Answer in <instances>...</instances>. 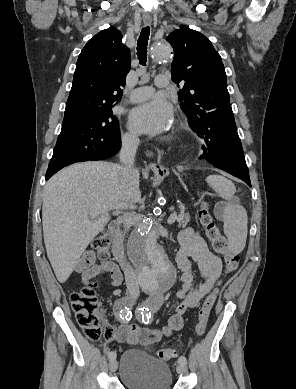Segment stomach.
<instances>
[{
	"label": "stomach",
	"mask_w": 296,
	"mask_h": 389,
	"mask_svg": "<svg viewBox=\"0 0 296 389\" xmlns=\"http://www.w3.org/2000/svg\"><path fill=\"white\" fill-rule=\"evenodd\" d=\"M152 181L156 186H163L167 181L168 173L164 168H157L152 173Z\"/></svg>",
	"instance_id": "1"
}]
</instances>
